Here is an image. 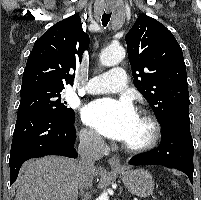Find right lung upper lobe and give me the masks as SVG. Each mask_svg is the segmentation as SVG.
<instances>
[{"label": "right lung upper lobe", "mask_w": 201, "mask_h": 200, "mask_svg": "<svg viewBox=\"0 0 201 200\" xmlns=\"http://www.w3.org/2000/svg\"><path fill=\"white\" fill-rule=\"evenodd\" d=\"M89 36L76 13L48 29L34 43L23 73L21 93L38 90L63 91L73 85Z\"/></svg>", "instance_id": "right-lung-upper-lobe-1"}]
</instances>
